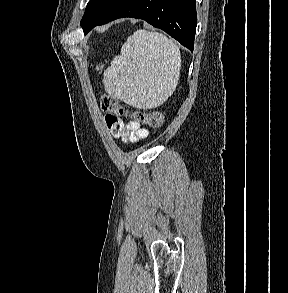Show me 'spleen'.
Masks as SVG:
<instances>
[{"mask_svg":"<svg viewBox=\"0 0 288 293\" xmlns=\"http://www.w3.org/2000/svg\"><path fill=\"white\" fill-rule=\"evenodd\" d=\"M181 69L178 46L165 35L139 29L104 72L105 91L143 109L163 104L175 90Z\"/></svg>","mask_w":288,"mask_h":293,"instance_id":"1","label":"spleen"}]
</instances>
